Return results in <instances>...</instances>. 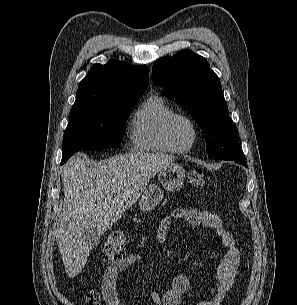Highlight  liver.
<instances>
[{
	"mask_svg": "<svg viewBox=\"0 0 297 305\" xmlns=\"http://www.w3.org/2000/svg\"><path fill=\"white\" fill-rule=\"evenodd\" d=\"M175 160L174 156L133 152L87 166L75 154L63 166L64 203L56 240L69 278L84 268L90 248L84 231L104 234L140 198L150 179Z\"/></svg>",
	"mask_w": 297,
	"mask_h": 305,
	"instance_id": "obj_1",
	"label": "liver"
}]
</instances>
